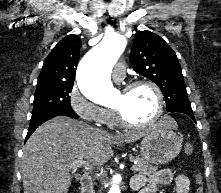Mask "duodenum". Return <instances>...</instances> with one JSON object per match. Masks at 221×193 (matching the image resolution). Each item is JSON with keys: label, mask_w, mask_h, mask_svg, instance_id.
Instances as JSON below:
<instances>
[{"label": "duodenum", "mask_w": 221, "mask_h": 193, "mask_svg": "<svg viewBox=\"0 0 221 193\" xmlns=\"http://www.w3.org/2000/svg\"><path fill=\"white\" fill-rule=\"evenodd\" d=\"M91 176L84 173L80 178L81 193H91Z\"/></svg>", "instance_id": "duodenum-1"}]
</instances>
